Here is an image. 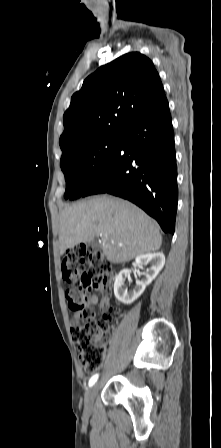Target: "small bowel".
Wrapping results in <instances>:
<instances>
[{
  "instance_id": "small-bowel-1",
  "label": "small bowel",
  "mask_w": 221,
  "mask_h": 448,
  "mask_svg": "<svg viewBox=\"0 0 221 448\" xmlns=\"http://www.w3.org/2000/svg\"><path fill=\"white\" fill-rule=\"evenodd\" d=\"M99 291L103 295L102 300L99 301L98 296L96 294H92L89 298V304L92 306L99 305V308L101 310H107L110 305V301H111V295L109 293V289L102 287L99 289ZM80 318H82V314L75 313L73 316V319H72V324L76 325L79 322Z\"/></svg>"
}]
</instances>
